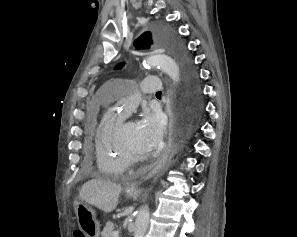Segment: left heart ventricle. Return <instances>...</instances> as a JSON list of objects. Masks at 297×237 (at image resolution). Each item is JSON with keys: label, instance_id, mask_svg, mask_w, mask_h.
<instances>
[{"label": "left heart ventricle", "instance_id": "obj_1", "mask_svg": "<svg viewBox=\"0 0 297 237\" xmlns=\"http://www.w3.org/2000/svg\"><path fill=\"white\" fill-rule=\"evenodd\" d=\"M126 125L124 128V138L128 143L129 147L135 153H148V150L141 142L138 134L137 123L133 121H125Z\"/></svg>", "mask_w": 297, "mask_h": 237}]
</instances>
